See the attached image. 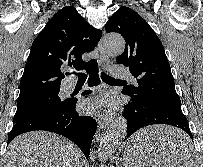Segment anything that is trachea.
<instances>
[{
	"instance_id": "1",
	"label": "trachea",
	"mask_w": 203,
	"mask_h": 167,
	"mask_svg": "<svg viewBox=\"0 0 203 167\" xmlns=\"http://www.w3.org/2000/svg\"><path fill=\"white\" fill-rule=\"evenodd\" d=\"M77 75L78 77V81L81 80H86L87 79V74L83 73V72H78V73H74ZM101 78L104 82L106 83H110V82H117V81H123V80H119V79H115L112 78L111 76L107 75L106 73L102 72L101 73Z\"/></svg>"
}]
</instances>
